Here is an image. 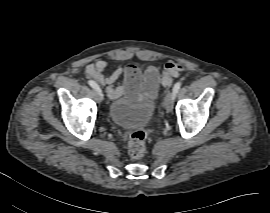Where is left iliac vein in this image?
Listing matches in <instances>:
<instances>
[{"mask_svg":"<svg viewBox=\"0 0 270 213\" xmlns=\"http://www.w3.org/2000/svg\"><path fill=\"white\" fill-rule=\"evenodd\" d=\"M173 100L174 94L173 92H168L165 98V109L167 112H171L173 109Z\"/></svg>","mask_w":270,"mask_h":213,"instance_id":"4c4485c4","label":"left iliac vein"}]
</instances>
